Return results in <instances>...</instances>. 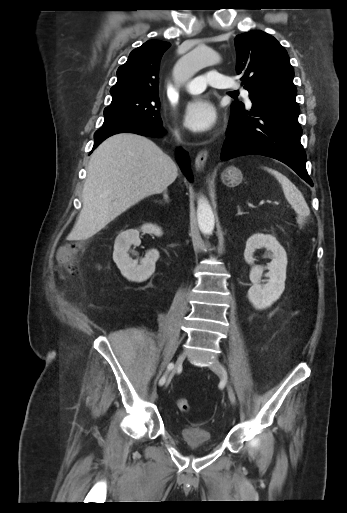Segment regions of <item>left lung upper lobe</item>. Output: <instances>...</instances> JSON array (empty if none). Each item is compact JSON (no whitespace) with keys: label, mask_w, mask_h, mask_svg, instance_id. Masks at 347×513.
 I'll use <instances>...</instances> for the list:
<instances>
[{"label":"left lung upper lobe","mask_w":347,"mask_h":513,"mask_svg":"<svg viewBox=\"0 0 347 513\" xmlns=\"http://www.w3.org/2000/svg\"><path fill=\"white\" fill-rule=\"evenodd\" d=\"M236 71L249 97L295 99L294 70L284 47L271 35L254 30L236 36ZM232 105H243L234 101Z\"/></svg>","instance_id":"1"}]
</instances>
